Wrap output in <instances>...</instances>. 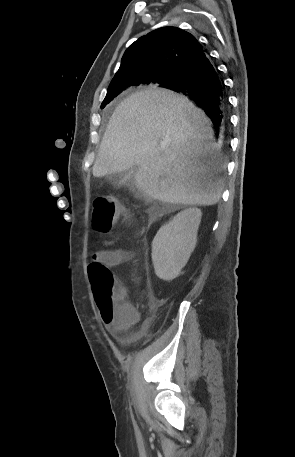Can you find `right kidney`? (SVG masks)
I'll use <instances>...</instances> for the list:
<instances>
[{"instance_id":"right-kidney-1","label":"right kidney","mask_w":295,"mask_h":457,"mask_svg":"<svg viewBox=\"0 0 295 457\" xmlns=\"http://www.w3.org/2000/svg\"><path fill=\"white\" fill-rule=\"evenodd\" d=\"M201 216L198 208L183 210L157 232L152 242V261L160 279L173 280L188 262L196 246Z\"/></svg>"}]
</instances>
